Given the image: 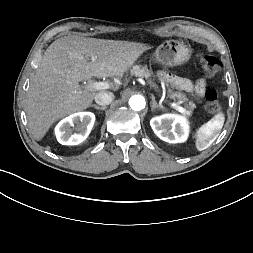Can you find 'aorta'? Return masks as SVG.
Listing matches in <instances>:
<instances>
[{
    "mask_svg": "<svg viewBox=\"0 0 253 253\" xmlns=\"http://www.w3.org/2000/svg\"><path fill=\"white\" fill-rule=\"evenodd\" d=\"M145 99L141 95H134L129 100L131 109L140 111L145 108Z\"/></svg>",
    "mask_w": 253,
    "mask_h": 253,
    "instance_id": "obj_1",
    "label": "aorta"
}]
</instances>
